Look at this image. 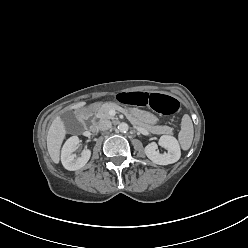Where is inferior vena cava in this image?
<instances>
[{
	"label": "inferior vena cava",
	"instance_id": "1",
	"mask_svg": "<svg viewBox=\"0 0 248 248\" xmlns=\"http://www.w3.org/2000/svg\"><path fill=\"white\" fill-rule=\"evenodd\" d=\"M111 126H112V124H111V122L109 120H100L98 122V128L101 131L108 130V129L111 128Z\"/></svg>",
	"mask_w": 248,
	"mask_h": 248
}]
</instances>
